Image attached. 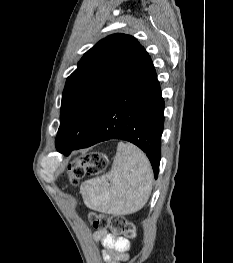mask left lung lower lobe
<instances>
[{
    "label": "left lung lower lobe",
    "mask_w": 233,
    "mask_h": 263,
    "mask_svg": "<svg viewBox=\"0 0 233 263\" xmlns=\"http://www.w3.org/2000/svg\"><path fill=\"white\" fill-rule=\"evenodd\" d=\"M163 111L164 100L153 63L147 53L106 106L88 138L81 144L56 139L57 151L68 156L72 150L105 140H126L146 153L157 178L161 158Z\"/></svg>",
    "instance_id": "1"
}]
</instances>
